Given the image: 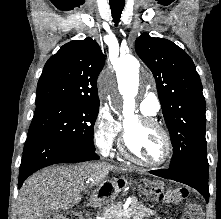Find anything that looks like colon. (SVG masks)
Returning a JSON list of instances; mask_svg holds the SVG:
<instances>
[{
	"mask_svg": "<svg viewBox=\"0 0 221 219\" xmlns=\"http://www.w3.org/2000/svg\"><path fill=\"white\" fill-rule=\"evenodd\" d=\"M177 195L185 197L188 195L186 190H178ZM62 219H83V216L78 211H71L62 216ZM180 219H203L202 210L197 205L188 206Z\"/></svg>",
	"mask_w": 221,
	"mask_h": 219,
	"instance_id": "obj_1",
	"label": "colon"
}]
</instances>
